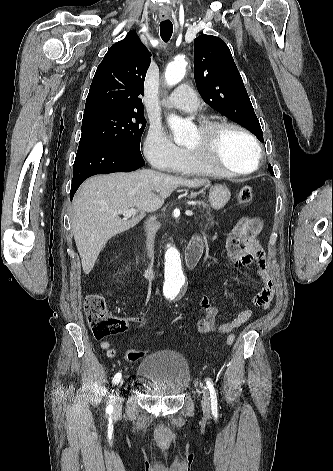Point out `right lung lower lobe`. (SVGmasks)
Masks as SVG:
<instances>
[{"label": "right lung lower lobe", "instance_id": "1", "mask_svg": "<svg viewBox=\"0 0 333 471\" xmlns=\"http://www.w3.org/2000/svg\"><path fill=\"white\" fill-rule=\"evenodd\" d=\"M145 165L141 154L107 144L78 147L74 162L70 199L80 184L90 176L112 172H131Z\"/></svg>", "mask_w": 333, "mask_h": 471}]
</instances>
